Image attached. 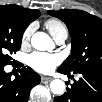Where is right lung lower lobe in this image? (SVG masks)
<instances>
[{"instance_id":"1","label":"right lung lower lobe","mask_w":102,"mask_h":102,"mask_svg":"<svg viewBox=\"0 0 102 102\" xmlns=\"http://www.w3.org/2000/svg\"><path fill=\"white\" fill-rule=\"evenodd\" d=\"M11 75L0 66V99L3 102H27L30 90L40 83V76L30 67H23L20 75Z\"/></svg>"}]
</instances>
